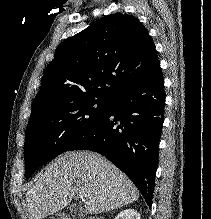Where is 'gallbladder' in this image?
Returning <instances> with one entry per match:
<instances>
[{"label":"gallbladder","mask_w":211,"mask_h":219,"mask_svg":"<svg viewBox=\"0 0 211 219\" xmlns=\"http://www.w3.org/2000/svg\"><path fill=\"white\" fill-rule=\"evenodd\" d=\"M69 211L78 215H81L83 213V210L77 207L75 204L69 206Z\"/></svg>","instance_id":"gallbladder-1"}]
</instances>
